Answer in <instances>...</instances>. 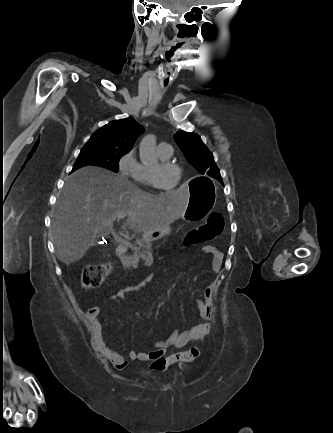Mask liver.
<instances>
[{"label":"liver","mask_w":333,"mask_h":433,"mask_svg":"<svg viewBox=\"0 0 333 433\" xmlns=\"http://www.w3.org/2000/svg\"><path fill=\"white\" fill-rule=\"evenodd\" d=\"M187 192L146 193L126 177L86 166L66 178L52 220L57 258L65 264L81 259L96 238L113 231L118 213L129 214L124 230L150 235L178 220L187 209Z\"/></svg>","instance_id":"6515ba94"}]
</instances>
